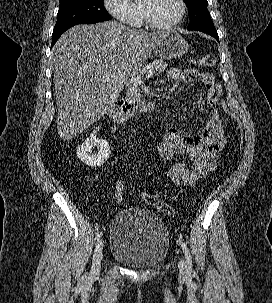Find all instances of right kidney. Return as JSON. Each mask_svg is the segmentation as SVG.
Wrapping results in <instances>:
<instances>
[{"mask_svg": "<svg viewBox=\"0 0 272 303\" xmlns=\"http://www.w3.org/2000/svg\"><path fill=\"white\" fill-rule=\"evenodd\" d=\"M98 130L99 127H96V130L77 149V156L80 161L92 168L100 167L110 156L109 143L106 140L97 138ZM95 147L98 148V152L92 154V149Z\"/></svg>", "mask_w": 272, "mask_h": 303, "instance_id": "right-kidney-1", "label": "right kidney"}]
</instances>
